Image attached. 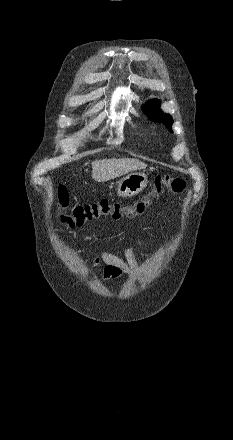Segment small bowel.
Segmentation results:
<instances>
[{
  "instance_id": "c3829d8e",
  "label": "small bowel",
  "mask_w": 233,
  "mask_h": 440,
  "mask_svg": "<svg viewBox=\"0 0 233 440\" xmlns=\"http://www.w3.org/2000/svg\"><path fill=\"white\" fill-rule=\"evenodd\" d=\"M150 245V242L136 241L126 249L125 260L108 251H101L99 256H95L92 259L94 266L104 264L103 274L99 278V282L102 283L109 279H118L122 276H129L136 273L138 271L136 251L140 248H147Z\"/></svg>"
}]
</instances>
